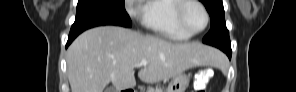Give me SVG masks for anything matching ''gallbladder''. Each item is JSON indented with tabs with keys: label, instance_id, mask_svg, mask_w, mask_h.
<instances>
[{
	"label": "gallbladder",
	"instance_id": "gallbladder-1",
	"mask_svg": "<svg viewBox=\"0 0 296 92\" xmlns=\"http://www.w3.org/2000/svg\"><path fill=\"white\" fill-rule=\"evenodd\" d=\"M105 92H116V89L114 87H109Z\"/></svg>",
	"mask_w": 296,
	"mask_h": 92
}]
</instances>
